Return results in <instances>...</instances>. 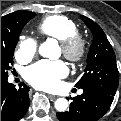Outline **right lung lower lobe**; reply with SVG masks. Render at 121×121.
<instances>
[{
    "instance_id": "98d812e1",
    "label": "right lung lower lobe",
    "mask_w": 121,
    "mask_h": 121,
    "mask_svg": "<svg viewBox=\"0 0 121 121\" xmlns=\"http://www.w3.org/2000/svg\"><path fill=\"white\" fill-rule=\"evenodd\" d=\"M7 79L1 78V121H18L30 104L29 87L22 84L16 89Z\"/></svg>"
}]
</instances>
